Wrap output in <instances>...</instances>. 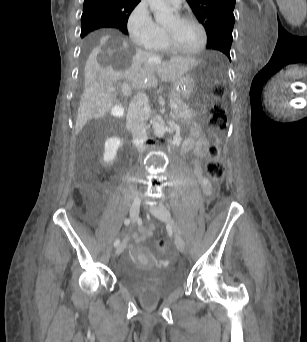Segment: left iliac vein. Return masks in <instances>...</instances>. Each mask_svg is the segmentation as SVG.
<instances>
[{"mask_svg":"<svg viewBox=\"0 0 307 342\" xmlns=\"http://www.w3.org/2000/svg\"><path fill=\"white\" fill-rule=\"evenodd\" d=\"M149 211L158 219L169 223L173 229L176 230V225L174 220L172 219V217L170 216L169 211L167 210V208H165L164 206H153L149 208ZM175 245L176 248L180 251V252H184L185 250V243L184 240L182 239V237L176 232V236H175Z\"/></svg>","mask_w":307,"mask_h":342,"instance_id":"obj_1","label":"left iliac vein"}]
</instances>
